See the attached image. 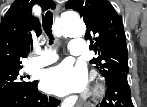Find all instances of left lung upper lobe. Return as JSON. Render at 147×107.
I'll use <instances>...</instances> for the list:
<instances>
[{
    "mask_svg": "<svg viewBox=\"0 0 147 107\" xmlns=\"http://www.w3.org/2000/svg\"><path fill=\"white\" fill-rule=\"evenodd\" d=\"M66 9L80 13L85 20V39L98 56L90 62L108 80L128 73V51L122 18L108 0H69Z\"/></svg>",
    "mask_w": 147,
    "mask_h": 107,
    "instance_id": "left-lung-upper-lobe-1",
    "label": "left lung upper lobe"
}]
</instances>
